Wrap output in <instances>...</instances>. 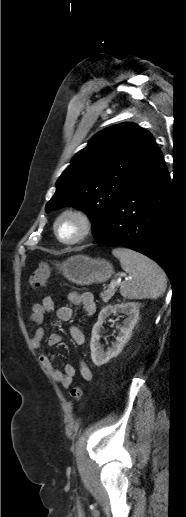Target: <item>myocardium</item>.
I'll return each instance as SVG.
<instances>
[{"label": "myocardium", "instance_id": "obj_1", "mask_svg": "<svg viewBox=\"0 0 186 517\" xmlns=\"http://www.w3.org/2000/svg\"><path fill=\"white\" fill-rule=\"evenodd\" d=\"M66 217L74 218V219L78 220L80 223L79 233L74 238L69 239V240L63 239L60 236L59 231H58V226H59L60 222ZM92 226H93L92 218L86 211H84L83 209H80V208L71 207V208H67V209L63 210L61 213H59V215L56 217V219L54 221L53 231H54V234H55L57 240L60 243L71 246V245H75V244L83 241L91 233Z\"/></svg>", "mask_w": 186, "mask_h": 517}]
</instances>
